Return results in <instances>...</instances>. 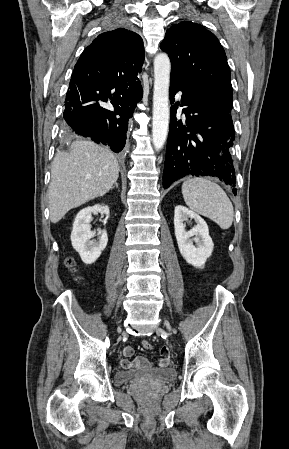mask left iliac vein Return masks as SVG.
<instances>
[{
	"instance_id": "obj_1",
	"label": "left iliac vein",
	"mask_w": 289,
	"mask_h": 449,
	"mask_svg": "<svg viewBox=\"0 0 289 449\" xmlns=\"http://www.w3.org/2000/svg\"><path fill=\"white\" fill-rule=\"evenodd\" d=\"M164 324H165L167 330H168L169 332H171V326H170L169 322H168V321H165Z\"/></svg>"
}]
</instances>
